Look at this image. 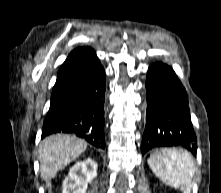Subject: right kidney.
I'll return each mask as SVG.
<instances>
[{"label": "right kidney", "mask_w": 221, "mask_h": 193, "mask_svg": "<svg viewBox=\"0 0 221 193\" xmlns=\"http://www.w3.org/2000/svg\"><path fill=\"white\" fill-rule=\"evenodd\" d=\"M97 168L91 158L77 162L63 181L62 193H86L88 184L97 176Z\"/></svg>", "instance_id": "ca27d5eb"}]
</instances>
